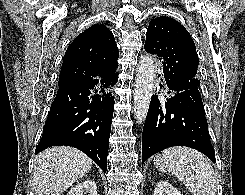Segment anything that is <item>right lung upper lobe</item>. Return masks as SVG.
Wrapping results in <instances>:
<instances>
[{"label": "right lung upper lobe", "mask_w": 245, "mask_h": 195, "mask_svg": "<svg viewBox=\"0 0 245 195\" xmlns=\"http://www.w3.org/2000/svg\"><path fill=\"white\" fill-rule=\"evenodd\" d=\"M118 57L112 32L103 24L92 25L68 47L58 85L92 79L99 70L112 75L116 73Z\"/></svg>", "instance_id": "obj_1"}]
</instances>
